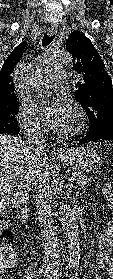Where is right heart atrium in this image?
I'll use <instances>...</instances> for the list:
<instances>
[{"instance_id":"d8ad5b80","label":"right heart atrium","mask_w":113,"mask_h":279,"mask_svg":"<svg viewBox=\"0 0 113 279\" xmlns=\"http://www.w3.org/2000/svg\"><path fill=\"white\" fill-rule=\"evenodd\" d=\"M17 119L23 132L28 137H37L43 134V126L30 107L21 105L18 109Z\"/></svg>"}]
</instances>
